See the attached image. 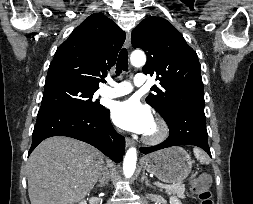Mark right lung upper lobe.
<instances>
[{
    "label": "right lung upper lobe",
    "mask_w": 253,
    "mask_h": 204,
    "mask_svg": "<svg viewBox=\"0 0 253 204\" xmlns=\"http://www.w3.org/2000/svg\"><path fill=\"white\" fill-rule=\"evenodd\" d=\"M125 33L103 14L90 15L55 53L45 84L70 82L98 89L116 63Z\"/></svg>",
    "instance_id": "right-lung-upper-lobe-1"
}]
</instances>
